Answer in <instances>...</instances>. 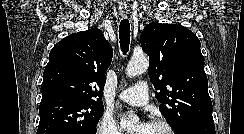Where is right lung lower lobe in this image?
Listing matches in <instances>:
<instances>
[{"label":"right lung lower lobe","instance_id":"obj_1","mask_svg":"<svg viewBox=\"0 0 244 134\" xmlns=\"http://www.w3.org/2000/svg\"><path fill=\"white\" fill-rule=\"evenodd\" d=\"M53 134H83V133H79V132H76V131H68V130H64V131H58V132H55Z\"/></svg>","mask_w":244,"mask_h":134}]
</instances>
